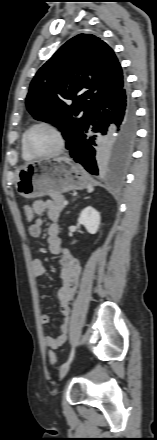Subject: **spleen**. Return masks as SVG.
<instances>
[{
	"mask_svg": "<svg viewBox=\"0 0 157 440\" xmlns=\"http://www.w3.org/2000/svg\"><path fill=\"white\" fill-rule=\"evenodd\" d=\"M87 191H88L89 193H91V192L94 191V188H93L92 184L89 183V184L87 185Z\"/></svg>",
	"mask_w": 157,
	"mask_h": 440,
	"instance_id": "3e777b00",
	"label": "spleen"
}]
</instances>
